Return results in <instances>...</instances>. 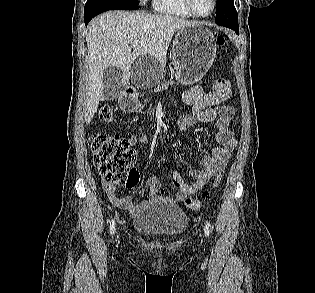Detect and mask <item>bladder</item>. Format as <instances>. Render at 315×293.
<instances>
[{"instance_id":"1","label":"bladder","mask_w":315,"mask_h":293,"mask_svg":"<svg viewBox=\"0 0 315 293\" xmlns=\"http://www.w3.org/2000/svg\"><path fill=\"white\" fill-rule=\"evenodd\" d=\"M188 221L179 206L154 202L134 216L132 226L144 235L173 239L184 233Z\"/></svg>"}]
</instances>
